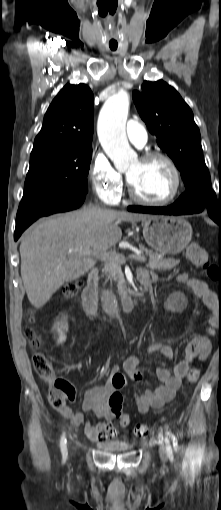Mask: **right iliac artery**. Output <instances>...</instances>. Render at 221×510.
Wrapping results in <instances>:
<instances>
[{"instance_id": "1", "label": "right iliac artery", "mask_w": 221, "mask_h": 510, "mask_svg": "<svg viewBox=\"0 0 221 510\" xmlns=\"http://www.w3.org/2000/svg\"><path fill=\"white\" fill-rule=\"evenodd\" d=\"M60 447H61V451H62L63 455L66 456L67 455V447H66V438L64 435L61 437Z\"/></svg>"}]
</instances>
